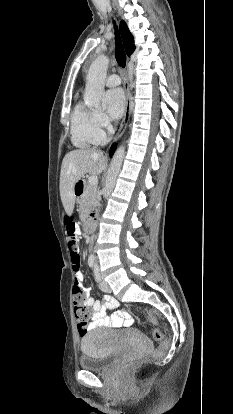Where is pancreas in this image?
Here are the masks:
<instances>
[{"label":"pancreas","mask_w":233,"mask_h":414,"mask_svg":"<svg viewBox=\"0 0 233 414\" xmlns=\"http://www.w3.org/2000/svg\"><path fill=\"white\" fill-rule=\"evenodd\" d=\"M79 213L80 218L84 219L90 213L91 209L98 203L96 197V185L85 183L83 195L79 199Z\"/></svg>","instance_id":"1"}]
</instances>
